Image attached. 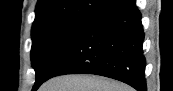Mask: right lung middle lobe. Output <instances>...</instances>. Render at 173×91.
Instances as JSON below:
<instances>
[{"mask_svg":"<svg viewBox=\"0 0 173 91\" xmlns=\"http://www.w3.org/2000/svg\"><path fill=\"white\" fill-rule=\"evenodd\" d=\"M88 19L69 18L33 25L31 60L36 72L34 86L44 82L54 62Z\"/></svg>","mask_w":173,"mask_h":91,"instance_id":"right-lung-middle-lobe-1","label":"right lung middle lobe"}]
</instances>
